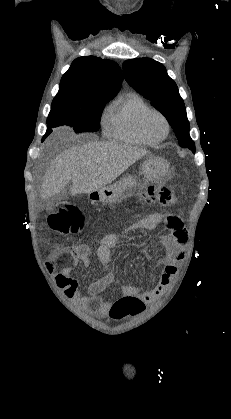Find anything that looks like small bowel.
<instances>
[{
  "label": "small bowel",
  "mask_w": 231,
  "mask_h": 419,
  "mask_svg": "<svg viewBox=\"0 0 231 419\" xmlns=\"http://www.w3.org/2000/svg\"><path fill=\"white\" fill-rule=\"evenodd\" d=\"M165 222V232L169 235L161 236L160 240L166 249V256L160 262V273L153 279L154 288L144 291L142 286L121 285L120 289L124 296H137L144 304L152 303L169 286L177 273V265L184 258V247L187 241V233L183 222L178 213H167L163 215L159 212L149 214L131 225L129 230H151L161 222ZM121 239L120 235L109 234L102 238L97 249V256L104 268L103 276L91 283L86 294H81L78 281L70 273L73 266L67 267L54 274V282L57 287L63 290L64 296L74 301L81 308L101 315H107L112 307L110 301L101 297V293L106 287L116 283V276L113 269L109 267L112 250ZM68 252L73 258V265L81 263L85 267L91 264V249L86 244H78L68 248ZM48 267L56 269V263L50 261Z\"/></svg>",
  "instance_id": "small-bowel-1"
}]
</instances>
